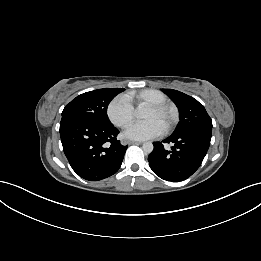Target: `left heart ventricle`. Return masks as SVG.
<instances>
[{"instance_id": "1", "label": "left heart ventricle", "mask_w": 261, "mask_h": 261, "mask_svg": "<svg viewBox=\"0 0 261 261\" xmlns=\"http://www.w3.org/2000/svg\"><path fill=\"white\" fill-rule=\"evenodd\" d=\"M143 119L146 121L156 120L165 128V126L167 125V123L169 121V115L163 114V113H158V112H155L154 110L148 108L143 115Z\"/></svg>"}]
</instances>
